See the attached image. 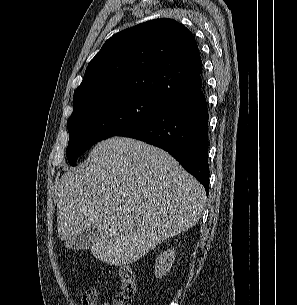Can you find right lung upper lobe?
Segmentation results:
<instances>
[{
  "mask_svg": "<svg viewBox=\"0 0 297 305\" xmlns=\"http://www.w3.org/2000/svg\"><path fill=\"white\" fill-rule=\"evenodd\" d=\"M202 61L192 33L172 19H155L109 38L90 61L74 93L73 110L126 93L168 100L202 85Z\"/></svg>",
  "mask_w": 297,
  "mask_h": 305,
  "instance_id": "cb5924a9",
  "label": "right lung upper lobe"
}]
</instances>
